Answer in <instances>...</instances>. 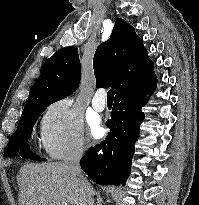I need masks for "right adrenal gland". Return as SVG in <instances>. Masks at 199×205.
I'll return each instance as SVG.
<instances>
[{"mask_svg":"<svg viewBox=\"0 0 199 205\" xmlns=\"http://www.w3.org/2000/svg\"><path fill=\"white\" fill-rule=\"evenodd\" d=\"M96 197H97V205H102L103 200H102L99 192L96 193Z\"/></svg>","mask_w":199,"mask_h":205,"instance_id":"2a0ac1e0","label":"right adrenal gland"}]
</instances>
